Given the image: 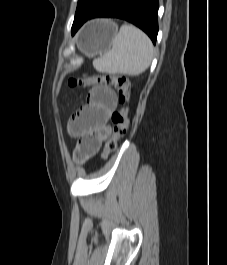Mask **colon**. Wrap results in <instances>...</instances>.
Returning <instances> with one entry per match:
<instances>
[{
	"mask_svg": "<svg viewBox=\"0 0 227 265\" xmlns=\"http://www.w3.org/2000/svg\"><path fill=\"white\" fill-rule=\"evenodd\" d=\"M107 85L113 86L118 93L121 108L112 114V134L106 139L102 158L107 159L117 147L118 141L125 135L129 124L130 82L126 76L114 74H101L92 76H78L69 79L70 87H88ZM75 157L84 159L82 153L75 150Z\"/></svg>",
	"mask_w": 227,
	"mask_h": 265,
	"instance_id": "obj_1",
	"label": "colon"
}]
</instances>
